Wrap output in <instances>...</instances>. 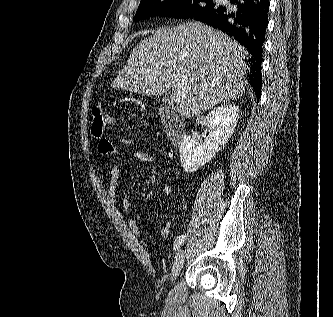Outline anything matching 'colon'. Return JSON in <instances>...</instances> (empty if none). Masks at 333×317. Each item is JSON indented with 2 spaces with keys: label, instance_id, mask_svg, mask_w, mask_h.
<instances>
[{
  "label": "colon",
  "instance_id": "colon-1",
  "mask_svg": "<svg viewBox=\"0 0 333 317\" xmlns=\"http://www.w3.org/2000/svg\"><path fill=\"white\" fill-rule=\"evenodd\" d=\"M92 114V133L96 139H100L103 127L105 125L112 124L115 121V116L109 114L102 105L94 106L92 109Z\"/></svg>",
  "mask_w": 333,
  "mask_h": 317
}]
</instances>
